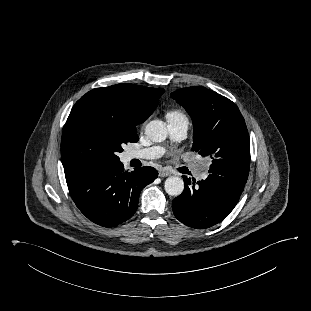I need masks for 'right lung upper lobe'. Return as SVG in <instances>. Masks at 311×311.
<instances>
[{"label":"right lung upper lobe","mask_w":311,"mask_h":311,"mask_svg":"<svg viewBox=\"0 0 311 311\" xmlns=\"http://www.w3.org/2000/svg\"><path fill=\"white\" fill-rule=\"evenodd\" d=\"M162 88H148L133 84H117L97 88L82 99L99 97L105 99L118 113L125 128L136 131V125L144 122L156 109Z\"/></svg>","instance_id":"right-lung-upper-lobe-1"}]
</instances>
